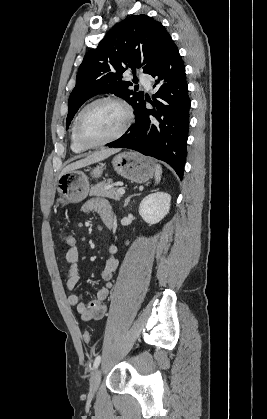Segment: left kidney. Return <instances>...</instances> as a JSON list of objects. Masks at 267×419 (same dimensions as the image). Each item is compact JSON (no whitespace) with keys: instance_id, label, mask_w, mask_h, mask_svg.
I'll return each instance as SVG.
<instances>
[{"instance_id":"5707ae66","label":"left kidney","mask_w":267,"mask_h":419,"mask_svg":"<svg viewBox=\"0 0 267 419\" xmlns=\"http://www.w3.org/2000/svg\"><path fill=\"white\" fill-rule=\"evenodd\" d=\"M171 196L157 192L146 196L140 203L139 214L148 224L160 222L170 210Z\"/></svg>"}]
</instances>
